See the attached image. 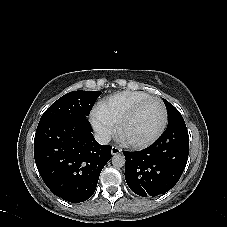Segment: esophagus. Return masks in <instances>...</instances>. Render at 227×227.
Instances as JSON below:
<instances>
[{
    "mask_svg": "<svg viewBox=\"0 0 227 227\" xmlns=\"http://www.w3.org/2000/svg\"><path fill=\"white\" fill-rule=\"evenodd\" d=\"M112 155H117L120 154L122 152V150L116 146H113L111 149Z\"/></svg>",
    "mask_w": 227,
    "mask_h": 227,
    "instance_id": "esophagus-1",
    "label": "esophagus"
}]
</instances>
